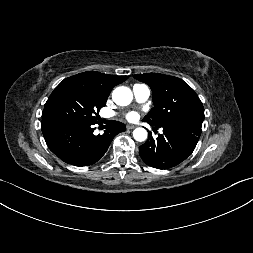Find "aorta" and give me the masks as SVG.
<instances>
[{
  "mask_svg": "<svg viewBox=\"0 0 253 253\" xmlns=\"http://www.w3.org/2000/svg\"><path fill=\"white\" fill-rule=\"evenodd\" d=\"M113 101L119 106H126L133 99L132 91L128 87H117L112 93ZM147 131L144 128H136L133 131V137L138 142H143L147 139Z\"/></svg>",
  "mask_w": 253,
  "mask_h": 253,
  "instance_id": "aorta-1",
  "label": "aorta"
}]
</instances>
